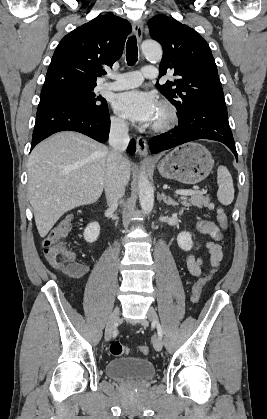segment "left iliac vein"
Here are the masks:
<instances>
[{
  "instance_id": "4c4485c4",
  "label": "left iliac vein",
  "mask_w": 267,
  "mask_h": 419,
  "mask_svg": "<svg viewBox=\"0 0 267 419\" xmlns=\"http://www.w3.org/2000/svg\"><path fill=\"white\" fill-rule=\"evenodd\" d=\"M147 317L153 323L158 322L157 313H156V311L152 307L149 308L148 313H147ZM142 325L143 326H146L147 325V321L146 320H143L142 321ZM162 346H163V343H162L161 337L159 335H156L154 337V339H153V347H154V349L156 351H161L162 350Z\"/></svg>"
}]
</instances>
